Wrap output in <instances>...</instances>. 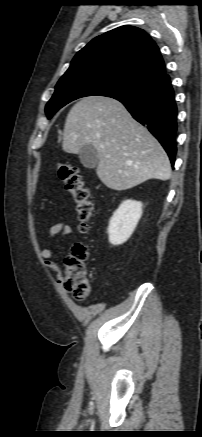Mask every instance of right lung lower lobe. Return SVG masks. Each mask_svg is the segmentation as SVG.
Wrapping results in <instances>:
<instances>
[{
  "label": "right lung lower lobe",
  "instance_id": "1",
  "mask_svg": "<svg viewBox=\"0 0 202 437\" xmlns=\"http://www.w3.org/2000/svg\"><path fill=\"white\" fill-rule=\"evenodd\" d=\"M113 98L123 103L134 119L159 140L173 166L177 151V106L170 77L164 74L136 94Z\"/></svg>",
  "mask_w": 202,
  "mask_h": 437
}]
</instances>
